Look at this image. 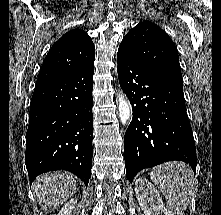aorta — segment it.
<instances>
[{"instance_id": "1", "label": "aorta", "mask_w": 221, "mask_h": 215, "mask_svg": "<svg viewBox=\"0 0 221 215\" xmlns=\"http://www.w3.org/2000/svg\"><path fill=\"white\" fill-rule=\"evenodd\" d=\"M118 101V109H119V117L122 122V124H126V122L131 117V107L129 102L126 100V97L124 94H119L117 97Z\"/></svg>"}]
</instances>
